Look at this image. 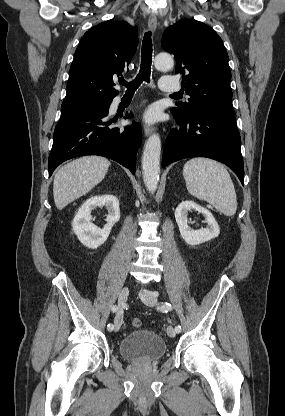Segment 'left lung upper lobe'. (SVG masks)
I'll list each match as a JSON object with an SVG mask.
<instances>
[{
	"instance_id": "left-lung-upper-lobe-1",
	"label": "left lung upper lobe",
	"mask_w": 285,
	"mask_h": 416,
	"mask_svg": "<svg viewBox=\"0 0 285 416\" xmlns=\"http://www.w3.org/2000/svg\"><path fill=\"white\" fill-rule=\"evenodd\" d=\"M162 48L174 54L176 74L182 76L188 102L177 103L176 119L206 111L233 112L228 54L218 34L208 25L183 19L166 29Z\"/></svg>"
}]
</instances>
